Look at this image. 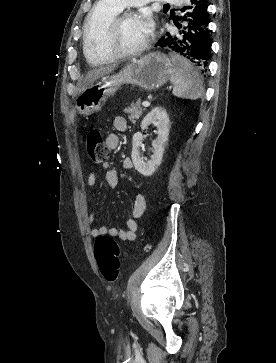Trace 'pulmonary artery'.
I'll return each mask as SVG.
<instances>
[{
	"mask_svg": "<svg viewBox=\"0 0 276 363\" xmlns=\"http://www.w3.org/2000/svg\"><path fill=\"white\" fill-rule=\"evenodd\" d=\"M117 4L121 9L128 7V6H138L148 3L149 1L153 0H110ZM161 2H168V1H174V0H156Z\"/></svg>",
	"mask_w": 276,
	"mask_h": 363,
	"instance_id": "e3ab8cb5",
	"label": "pulmonary artery"
}]
</instances>
